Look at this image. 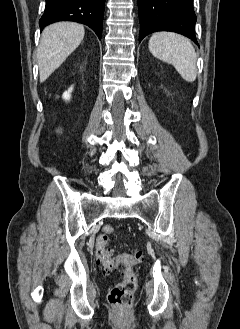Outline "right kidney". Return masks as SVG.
I'll return each mask as SVG.
<instances>
[{"instance_id": "1", "label": "right kidney", "mask_w": 240, "mask_h": 329, "mask_svg": "<svg viewBox=\"0 0 240 329\" xmlns=\"http://www.w3.org/2000/svg\"><path fill=\"white\" fill-rule=\"evenodd\" d=\"M72 87L71 88H69L68 89V91H66L64 94H63V99H65V100H69L70 99V93H71V91H72Z\"/></svg>"}]
</instances>
